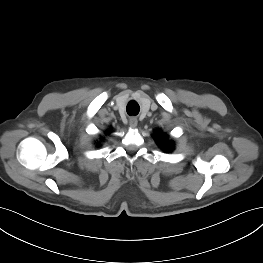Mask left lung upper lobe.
Instances as JSON below:
<instances>
[{
	"mask_svg": "<svg viewBox=\"0 0 263 263\" xmlns=\"http://www.w3.org/2000/svg\"><path fill=\"white\" fill-rule=\"evenodd\" d=\"M168 136H166L161 131L155 132V140L159 146H162L165 152H171L174 149L173 142L167 141Z\"/></svg>",
	"mask_w": 263,
	"mask_h": 263,
	"instance_id": "left-lung-upper-lobe-1",
	"label": "left lung upper lobe"
}]
</instances>
